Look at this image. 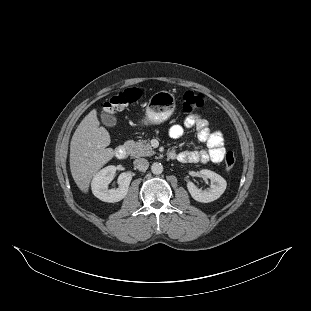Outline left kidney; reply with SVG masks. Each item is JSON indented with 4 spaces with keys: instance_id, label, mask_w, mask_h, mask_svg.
Returning <instances> with one entry per match:
<instances>
[{
    "instance_id": "obj_1",
    "label": "left kidney",
    "mask_w": 311,
    "mask_h": 311,
    "mask_svg": "<svg viewBox=\"0 0 311 311\" xmlns=\"http://www.w3.org/2000/svg\"><path fill=\"white\" fill-rule=\"evenodd\" d=\"M200 173L210 179V185L202 190L193 182L188 181L186 186L191 196L200 202H211L219 198L226 189V180L210 170H201Z\"/></svg>"
}]
</instances>
